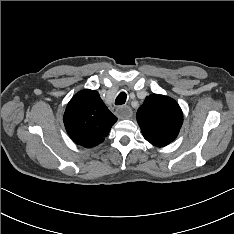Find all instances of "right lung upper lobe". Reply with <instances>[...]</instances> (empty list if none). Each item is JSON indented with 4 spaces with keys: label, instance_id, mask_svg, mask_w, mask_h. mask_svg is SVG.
<instances>
[{
    "label": "right lung upper lobe",
    "instance_id": "obj_1",
    "mask_svg": "<svg viewBox=\"0 0 234 234\" xmlns=\"http://www.w3.org/2000/svg\"><path fill=\"white\" fill-rule=\"evenodd\" d=\"M63 120L70 138L78 145L91 148L104 141L117 117L97 91L85 89L69 101Z\"/></svg>",
    "mask_w": 234,
    "mask_h": 234
}]
</instances>
